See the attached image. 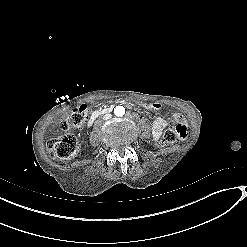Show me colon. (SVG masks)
Listing matches in <instances>:
<instances>
[{
    "label": "colon",
    "instance_id": "obj_1",
    "mask_svg": "<svg viewBox=\"0 0 247 247\" xmlns=\"http://www.w3.org/2000/svg\"><path fill=\"white\" fill-rule=\"evenodd\" d=\"M142 106L146 110L156 112L162 108L159 101L146 99ZM88 108L82 105L75 109L62 123L61 130L64 132L61 136H52L46 142V148L51 155L58 160H67L74 157L77 153V140L75 129L81 126L88 118ZM187 136V128L179 123L167 129L163 135V142L166 145H172L176 141L184 140Z\"/></svg>",
    "mask_w": 247,
    "mask_h": 247
}]
</instances>
